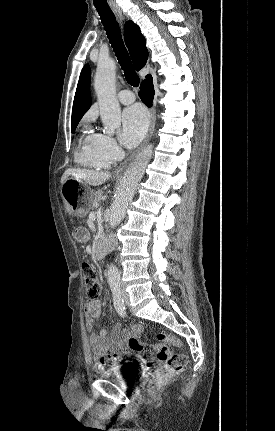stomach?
Returning <instances> with one entry per match:
<instances>
[{
    "label": "stomach",
    "mask_w": 275,
    "mask_h": 431,
    "mask_svg": "<svg viewBox=\"0 0 275 431\" xmlns=\"http://www.w3.org/2000/svg\"><path fill=\"white\" fill-rule=\"evenodd\" d=\"M61 196L68 214L81 217L90 208L93 191L82 180L71 177L62 183Z\"/></svg>",
    "instance_id": "obj_1"
}]
</instances>
